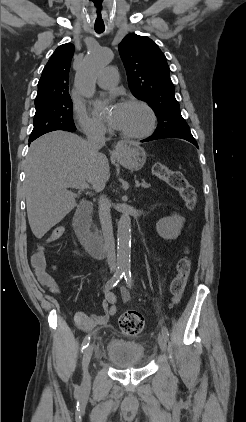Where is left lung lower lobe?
<instances>
[{
	"label": "left lung lower lobe",
	"instance_id": "obj_1",
	"mask_svg": "<svg viewBox=\"0 0 246 422\" xmlns=\"http://www.w3.org/2000/svg\"><path fill=\"white\" fill-rule=\"evenodd\" d=\"M163 138H181V139H185L189 142H191L192 144H194L197 148V142L194 139V137L192 136L191 133H171V134H153L152 136L142 140L141 142H148V141H152V140H156V139H163Z\"/></svg>",
	"mask_w": 246,
	"mask_h": 422
}]
</instances>
